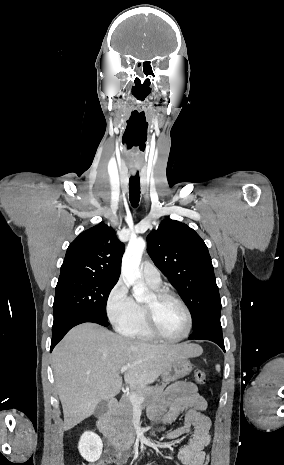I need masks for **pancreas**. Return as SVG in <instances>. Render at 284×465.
Returning <instances> with one entry per match:
<instances>
[{"mask_svg": "<svg viewBox=\"0 0 284 465\" xmlns=\"http://www.w3.org/2000/svg\"><path fill=\"white\" fill-rule=\"evenodd\" d=\"M165 387L166 385L163 383L161 387L156 385V387H142V389H136V391H134V395L144 397L145 399L144 403L141 405V409H145V407L154 403V401L162 395ZM112 423L120 439H123V441L134 439L135 429L133 427V407L131 401H129L126 395L120 399L118 409L116 413H113L112 415Z\"/></svg>", "mask_w": 284, "mask_h": 465, "instance_id": "1", "label": "pancreas"}]
</instances>
